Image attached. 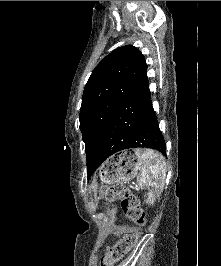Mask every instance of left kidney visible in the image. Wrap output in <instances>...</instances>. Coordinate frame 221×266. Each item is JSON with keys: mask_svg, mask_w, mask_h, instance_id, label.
<instances>
[{"mask_svg": "<svg viewBox=\"0 0 221 266\" xmlns=\"http://www.w3.org/2000/svg\"><path fill=\"white\" fill-rule=\"evenodd\" d=\"M154 199H155V195L153 194V192H152V191L149 192V193H148V200H149L151 203H153Z\"/></svg>", "mask_w": 221, "mask_h": 266, "instance_id": "5707ae66", "label": "left kidney"}]
</instances>
